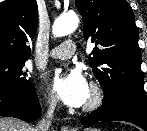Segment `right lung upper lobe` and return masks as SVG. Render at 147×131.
Listing matches in <instances>:
<instances>
[{"label": "right lung upper lobe", "mask_w": 147, "mask_h": 131, "mask_svg": "<svg viewBox=\"0 0 147 131\" xmlns=\"http://www.w3.org/2000/svg\"><path fill=\"white\" fill-rule=\"evenodd\" d=\"M38 22L36 0H5L0 4V57L28 59L29 42Z\"/></svg>", "instance_id": "obj_1"}]
</instances>
